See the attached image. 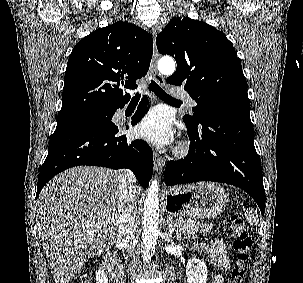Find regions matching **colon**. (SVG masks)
Masks as SVG:
<instances>
[{"label":"colon","mask_w":303,"mask_h":283,"mask_svg":"<svg viewBox=\"0 0 303 283\" xmlns=\"http://www.w3.org/2000/svg\"><path fill=\"white\" fill-rule=\"evenodd\" d=\"M229 229L232 237V248L236 254L237 261V266L231 272L229 283H243L244 266L251 253L252 241L247 233L243 220L239 216H231ZM77 283L89 282L87 279H79Z\"/></svg>","instance_id":"obj_1"}]
</instances>
